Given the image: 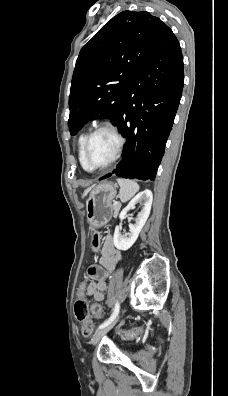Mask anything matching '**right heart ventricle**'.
I'll use <instances>...</instances> for the list:
<instances>
[{
  "instance_id": "e07e8e85",
  "label": "right heart ventricle",
  "mask_w": 228,
  "mask_h": 396,
  "mask_svg": "<svg viewBox=\"0 0 228 396\" xmlns=\"http://www.w3.org/2000/svg\"><path fill=\"white\" fill-rule=\"evenodd\" d=\"M86 136H87V133H82L79 135V137L77 139V155H78V160H79L81 167L85 171L90 172L91 170L87 167V165L84 162V158H83V145H84Z\"/></svg>"
}]
</instances>
